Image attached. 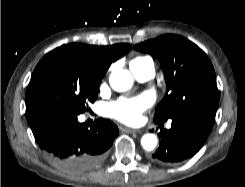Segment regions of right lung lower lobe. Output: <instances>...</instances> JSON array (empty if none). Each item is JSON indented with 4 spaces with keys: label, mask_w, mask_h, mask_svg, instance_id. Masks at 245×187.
I'll return each mask as SVG.
<instances>
[{
    "label": "right lung lower lobe",
    "mask_w": 245,
    "mask_h": 187,
    "mask_svg": "<svg viewBox=\"0 0 245 187\" xmlns=\"http://www.w3.org/2000/svg\"><path fill=\"white\" fill-rule=\"evenodd\" d=\"M78 115L70 110H51L28 120L40 148L71 172H85L100 165L119 133L108 120L79 123Z\"/></svg>",
    "instance_id": "obj_1"
}]
</instances>
